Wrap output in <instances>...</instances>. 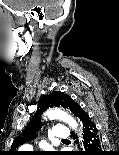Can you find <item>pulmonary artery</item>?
Returning a JSON list of instances; mask_svg holds the SVG:
<instances>
[{
    "mask_svg": "<svg viewBox=\"0 0 119 155\" xmlns=\"http://www.w3.org/2000/svg\"><path fill=\"white\" fill-rule=\"evenodd\" d=\"M69 136V131L66 127H56L53 131L54 140H65ZM23 148L27 149L30 146H24Z\"/></svg>",
    "mask_w": 119,
    "mask_h": 155,
    "instance_id": "obj_1",
    "label": "pulmonary artery"
}]
</instances>
